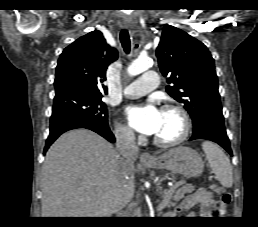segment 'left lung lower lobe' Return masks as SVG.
Instances as JSON below:
<instances>
[{"mask_svg":"<svg viewBox=\"0 0 258 227\" xmlns=\"http://www.w3.org/2000/svg\"><path fill=\"white\" fill-rule=\"evenodd\" d=\"M206 139L216 142L232 155L224 121L220 119L207 120L198 130L193 131L190 140Z\"/></svg>","mask_w":258,"mask_h":227,"instance_id":"obj_1","label":"left lung lower lobe"}]
</instances>
